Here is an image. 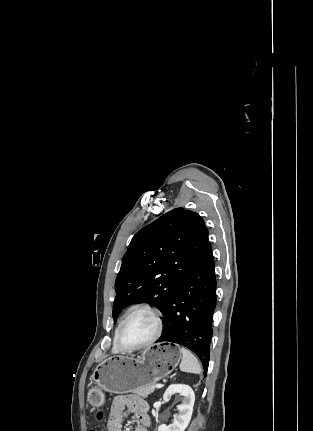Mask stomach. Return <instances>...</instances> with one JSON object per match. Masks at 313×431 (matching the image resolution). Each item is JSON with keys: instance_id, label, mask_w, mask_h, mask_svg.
<instances>
[{"instance_id": "stomach-1", "label": "stomach", "mask_w": 313, "mask_h": 431, "mask_svg": "<svg viewBox=\"0 0 313 431\" xmlns=\"http://www.w3.org/2000/svg\"><path fill=\"white\" fill-rule=\"evenodd\" d=\"M181 352L170 344H155L141 355L111 356L94 370L95 387L88 392V402L94 407L104 403V393L134 392L146 385H153L168 376L179 364Z\"/></svg>"}]
</instances>
